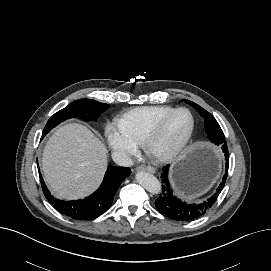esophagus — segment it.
<instances>
[{
    "instance_id": "esophagus-1",
    "label": "esophagus",
    "mask_w": 271,
    "mask_h": 271,
    "mask_svg": "<svg viewBox=\"0 0 271 271\" xmlns=\"http://www.w3.org/2000/svg\"><path fill=\"white\" fill-rule=\"evenodd\" d=\"M137 171H146V172H149V173H155V169L151 166H146V165H142V166H139L137 167Z\"/></svg>"
}]
</instances>
